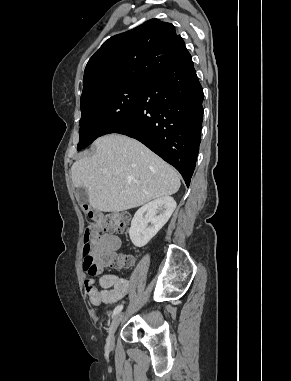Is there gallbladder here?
I'll return each mask as SVG.
<instances>
[{"label": "gallbladder", "instance_id": "1", "mask_svg": "<svg viewBox=\"0 0 291 381\" xmlns=\"http://www.w3.org/2000/svg\"><path fill=\"white\" fill-rule=\"evenodd\" d=\"M76 196L81 204H87L89 202V197L87 190L85 188L79 187L76 189Z\"/></svg>", "mask_w": 291, "mask_h": 381}]
</instances>
